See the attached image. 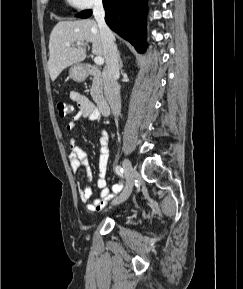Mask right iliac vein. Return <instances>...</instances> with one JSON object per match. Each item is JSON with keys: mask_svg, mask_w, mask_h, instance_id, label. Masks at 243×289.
<instances>
[{"mask_svg": "<svg viewBox=\"0 0 243 289\" xmlns=\"http://www.w3.org/2000/svg\"><path fill=\"white\" fill-rule=\"evenodd\" d=\"M123 169L126 177V186L123 192L112 201L113 205H118L125 202L129 198L133 189V180L136 171L128 159L123 160Z\"/></svg>", "mask_w": 243, "mask_h": 289, "instance_id": "63e3f726", "label": "right iliac vein"}]
</instances>
